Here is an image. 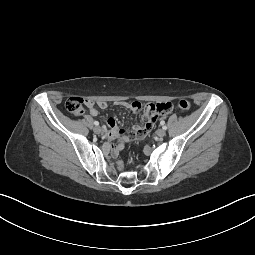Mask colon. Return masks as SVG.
I'll return each mask as SVG.
<instances>
[{
	"label": "colon",
	"mask_w": 255,
	"mask_h": 255,
	"mask_svg": "<svg viewBox=\"0 0 255 255\" xmlns=\"http://www.w3.org/2000/svg\"><path fill=\"white\" fill-rule=\"evenodd\" d=\"M86 103L87 101L83 98L71 97L66 102V108L71 114L75 116H80L84 113V106ZM177 105L183 111H188L191 107L190 102L184 99L179 100ZM117 167L118 169H121L123 167V162L121 160L117 162Z\"/></svg>",
	"instance_id": "5ec220e1"
}]
</instances>
